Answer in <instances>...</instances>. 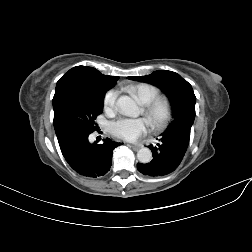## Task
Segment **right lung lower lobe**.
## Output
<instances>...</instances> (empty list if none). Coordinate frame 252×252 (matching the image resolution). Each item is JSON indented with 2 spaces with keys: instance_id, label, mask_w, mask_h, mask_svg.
Masks as SVG:
<instances>
[{
  "instance_id": "right-lung-lower-lobe-1",
  "label": "right lung lower lobe",
  "mask_w": 252,
  "mask_h": 252,
  "mask_svg": "<svg viewBox=\"0 0 252 252\" xmlns=\"http://www.w3.org/2000/svg\"><path fill=\"white\" fill-rule=\"evenodd\" d=\"M89 134L69 132L58 138V142L72 169L82 176L97 178L110 170L113 150L121 143L107 138L103 144H91L88 141Z\"/></svg>"
}]
</instances>
